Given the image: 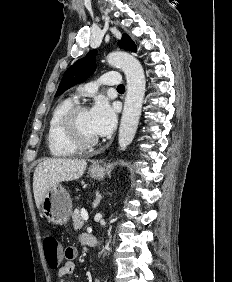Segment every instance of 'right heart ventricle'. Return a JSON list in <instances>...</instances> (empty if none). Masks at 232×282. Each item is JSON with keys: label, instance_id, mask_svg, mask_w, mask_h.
<instances>
[{"label": "right heart ventricle", "instance_id": "right-heart-ventricle-1", "mask_svg": "<svg viewBox=\"0 0 232 282\" xmlns=\"http://www.w3.org/2000/svg\"><path fill=\"white\" fill-rule=\"evenodd\" d=\"M75 104L71 98L59 101L52 110L46 135L49 153L54 157H69L77 153L78 149L73 146L64 136L62 120L69 108Z\"/></svg>", "mask_w": 232, "mask_h": 282}]
</instances>
